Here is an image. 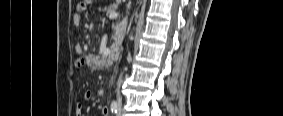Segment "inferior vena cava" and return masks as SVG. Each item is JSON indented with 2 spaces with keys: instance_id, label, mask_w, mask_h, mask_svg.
<instances>
[{
  "instance_id": "inferior-vena-cava-1",
  "label": "inferior vena cava",
  "mask_w": 283,
  "mask_h": 116,
  "mask_svg": "<svg viewBox=\"0 0 283 116\" xmlns=\"http://www.w3.org/2000/svg\"><path fill=\"white\" fill-rule=\"evenodd\" d=\"M121 83H122V74L119 77L118 88H117V100H118L119 103L121 101V97H120V86H121Z\"/></svg>"
}]
</instances>
